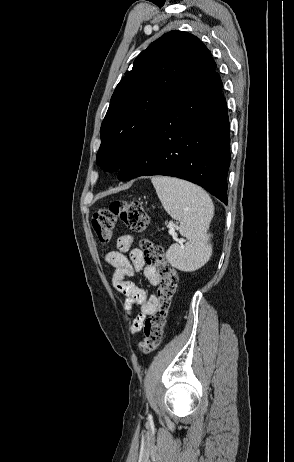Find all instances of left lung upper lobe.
Returning a JSON list of instances; mask_svg holds the SVG:
<instances>
[{
	"instance_id": "5c2ea615",
	"label": "left lung upper lobe",
	"mask_w": 294,
	"mask_h": 462,
	"mask_svg": "<svg viewBox=\"0 0 294 462\" xmlns=\"http://www.w3.org/2000/svg\"><path fill=\"white\" fill-rule=\"evenodd\" d=\"M215 69L210 51L190 33L170 31L151 43L111 97L100 129L98 164L109 172L120 169L159 114Z\"/></svg>"
}]
</instances>
